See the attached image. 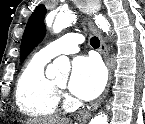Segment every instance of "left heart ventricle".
Returning a JSON list of instances; mask_svg holds the SVG:
<instances>
[{
	"label": "left heart ventricle",
	"instance_id": "b2bd125f",
	"mask_svg": "<svg viewBox=\"0 0 145 124\" xmlns=\"http://www.w3.org/2000/svg\"><path fill=\"white\" fill-rule=\"evenodd\" d=\"M59 86L65 87L68 81V76H62L54 80Z\"/></svg>",
	"mask_w": 145,
	"mask_h": 124
}]
</instances>
